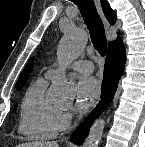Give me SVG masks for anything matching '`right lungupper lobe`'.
<instances>
[{
    "mask_svg": "<svg viewBox=\"0 0 145 147\" xmlns=\"http://www.w3.org/2000/svg\"><path fill=\"white\" fill-rule=\"evenodd\" d=\"M101 5H102L104 14L107 17L108 21L111 24H114L115 21H116L115 12L111 9L109 4L105 0H101ZM32 67H33V64H32V60H31L30 63L27 64L26 69L24 70V72H22L21 77H20V79H19V81H18V83L16 85V87L18 89H20L23 86V84L25 83V81L27 80L28 74L31 72Z\"/></svg>",
    "mask_w": 145,
    "mask_h": 147,
    "instance_id": "cb5924a9",
    "label": "right lung upper lobe"
}]
</instances>
